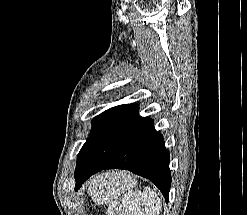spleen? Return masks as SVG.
<instances>
[{
	"label": "spleen",
	"instance_id": "obj_1",
	"mask_svg": "<svg viewBox=\"0 0 247 215\" xmlns=\"http://www.w3.org/2000/svg\"><path fill=\"white\" fill-rule=\"evenodd\" d=\"M127 189L121 204L116 200H110L108 215H159L162 200L154 189L146 187L143 192Z\"/></svg>",
	"mask_w": 247,
	"mask_h": 215
}]
</instances>
